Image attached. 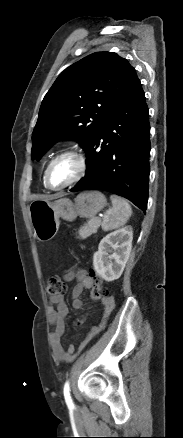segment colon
Here are the masks:
<instances>
[{
    "instance_id": "obj_1",
    "label": "colon",
    "mask_w": 183,
    "mask_h": 438,
    "mask_svg": "<svg viewBox=\"0 0 183 438\" xmlns=\"http://www.w3.org/2000/svg\"><path fill=\"white\" fill-rule=\"evenodd\" d=\"M90 277L93 280L91 298L93 300H99L109 296V293L102 284L101 278L95 273V271H90ZM65 291L66 285L58 276H52L48 279L46 293L50 299L63 295Z\"/></svg>"
}]
</instances>
